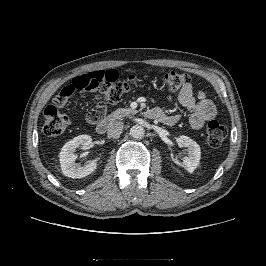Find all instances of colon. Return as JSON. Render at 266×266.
Here are the masks:
<instances>
[{"label":"colon","instance_id":"1","mask_svg":"<svg viewBox=\"0 0 266 266\" xmlns=\"http://www.w3.org/2000/svg\"><path fill=\"white\" fill-rule=\"evenodd\" d=\"M163 82L170 92H175L191 82V76L175 70L163 74ZM141 80L140 76L120 77L115 70L95 71L75 77L71 83L63 87L54 98L53 103L44 110V133L49 137L61 135L68 123L67 117L59 111L67 100L77 91L97 89L102 98L111 104L118 103L130 88ZM104 111H100L103 114ZM227 135L226 128L217 121H210L207 126V143L211 147H219Z\"/></svg>","mask_w":266,"mask_h":266}]
</instances>
